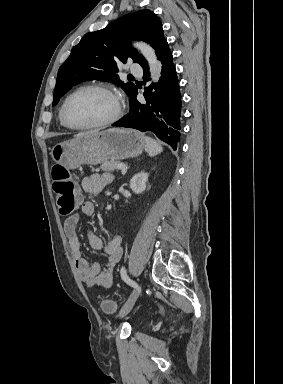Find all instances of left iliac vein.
Segmentation results:
<instances>
[{
	"label": "left iliac vein",
	"instance_id": "obj_1",
	"mask_svg": "<svg viewBox=\"0 0 283 384\" xmlns=\"http://www.w3.org/2000/svg\"><path fill=\"white\" fill-rule=\"evenodd\" d=\"M137 285H138V287L134 289V291L131 294V296L129 297L128 301L125 303V305L120 310L119 315H118L120 318L125 317L130 312V310L132 309V307L134 305V302L136 301L139 293L141 292V289H142L141 283H139Z\"/></svg>",
	"mask_w": 283,
	"mask_h": 384
}]
</instances>
